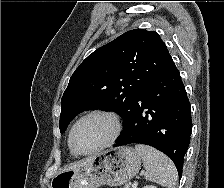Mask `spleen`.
<instances>
[{
    "mask_svg": "<svg viewBox=\"0 0 224 188\" xmlns=\"http://www.w3.org/2000/svg\"><path fill=\"white\" fill-rule=\"evenodd\" d=\"M135 149L142 156L146 180L167 188H175L178 173L169 157L148 145L136 144Z\"/></svg>",
    "mask_w": 224,
    "mask_h": 188,
    "instance_id": "spleen-1",
    "label": "spleen"
}]
</instances>
